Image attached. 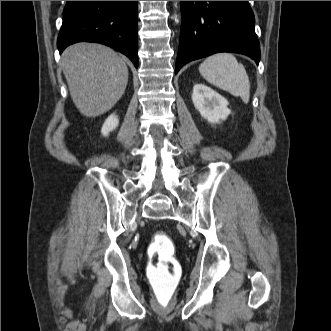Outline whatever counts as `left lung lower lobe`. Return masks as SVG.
Segmentation results:
<instances>
[{"mask_svg": "<svg viewBox=\"0 0 331 331\" xmlns=\"http://www.w3.org/2000/svg\"><path fill=\"white\" fill-rule=\"evenodd\" d=\"M182 25L175 74L186 63L218 52L260 60L248 1H181Z\"/></svg>", "mask_w": 331, "mask_h": 331, "instance_id": "1", "label": "left lung lower lobe"}]
</instances>
